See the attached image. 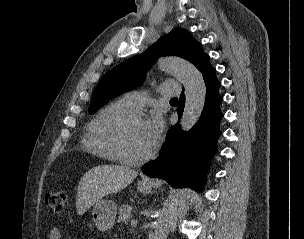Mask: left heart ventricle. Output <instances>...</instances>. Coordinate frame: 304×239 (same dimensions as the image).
I'll return each mask as SVG.
<instances>
[{
    "label": "left heart ventricle",
    "instance_id": "1",
    "mask_svg": "<svg viewBox=\"0 0 304 239\" xmlns=\"http://www.w3.org/2000/svg\"><path fill=\"white\" fill-rule=\"evenodd\" d=\"M144 127V121L135 122L125 132L122 140V148L126 155L137 157L146 154L151 149L145 135Z\"/></svg>",
    "mask_w": 304,
    "mask_h": 239
}]
</instances>
